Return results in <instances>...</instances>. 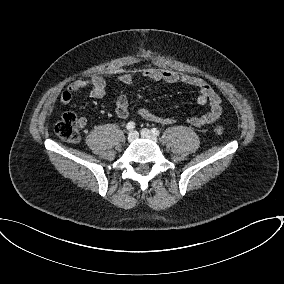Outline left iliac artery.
I'll use <instances>...</instances> for the list:
<instances>
[{
  "label": "left iliac artery",
  "mask_w": 284,
  "mask_h": 284,
  "mask_svg": "<svg viewBox=\"0 0 284 284\" xmlns=\"http://www.w3.org/2000/svg\"><path fill=\"white\" fill-rule=\"evenodd\" d=\"M151 132L155 135L158 136L160 134V131L157 128H152Z\"/></svg>",
  "instance_id": "1"
}]
</instances>
